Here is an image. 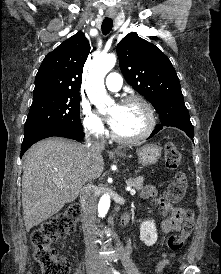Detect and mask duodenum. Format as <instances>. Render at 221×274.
Here are the masks:
<instances>
[{"label":"duodenum","instance_id":"410a0bca","mask_svg":"<svg viewBox=\"0 0 221 274\" xmlns=\"http://www.w3.org/2000/svg\"><path fill=\"white\" fill-rule=\"evenodd\" d=\"M130 216H131V212L130 211H126L125 213H123L122 217H121V225L122 226H126L130 220Z\"/></svg>","mask_w":221,"mask_h":274}]
</instances>
